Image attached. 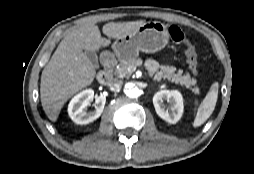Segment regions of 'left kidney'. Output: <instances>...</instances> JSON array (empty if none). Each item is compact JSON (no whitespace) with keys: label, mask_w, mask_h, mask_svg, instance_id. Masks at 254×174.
<instances>
[{"label":"left kidney","mask_w":254,"mask_h":174,"mask_svg":"<svg viewBox=\"0 0 254 174\" xmlns=\"http://www.w3.org/2000/svg\"><path fill=\"white\" fill-rule=\"evenodd\" d=\"M167 100L169 107L164 104ZM153 105L160 118L170 124L177 123L183 114V97L177 90H161L153 96Z\"/></svg>","instance_id":"5707ae66"}]
</instances>
